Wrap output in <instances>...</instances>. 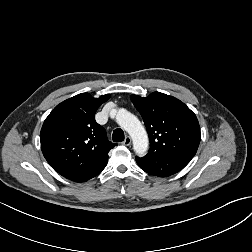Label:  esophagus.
<instances>
[{
    "mask_svg": "<svg viewBox=\"0 0 252 252\" xmlns=\"http://www.w3.org/2000/svg\"><path fill=\"white\" fill-rule=\"evenodd\" d=\"M131 142H132L131 137L127 136L125 138V140L122 142V144L125 145V146H129V145H131Z\"/></svg>",
    "mask_w": 252,
    "mask_h": 252,
    "instance_id": "esophagus-1",
    "label": "esophagus"
}]
</instances>
